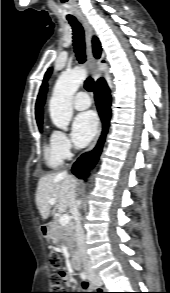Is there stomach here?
<instances>
[{"mask_svg":"<svg viewBox=\"0 0 170 293\" xmlns=\"http://www.w3.org/2000/svg\"><path fill=\"white\" fill-rule=\"evenodd\" d=\"M45 234H46V237H47V238H50V237H51V229L48 228V229L45 231Z\"/></svg>","mask_w":170,"mask_h":293,"instance_id":"1","label":"stomach"}]
</instances>
